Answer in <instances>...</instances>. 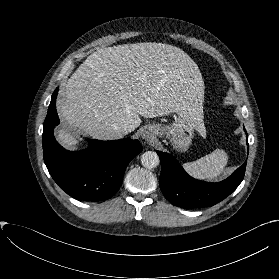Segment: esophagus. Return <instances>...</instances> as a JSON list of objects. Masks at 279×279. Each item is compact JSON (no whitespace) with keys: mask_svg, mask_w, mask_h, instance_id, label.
<instances>
[{"mask_svg":"<svg viewBox=\"0 0 279 279\" xmlns=\"http://www.w3.org/2000/svg\"><path fill=\"white\" fill-rule=\"evenodd\" d=\"M142 138L147 141H152L154 139V134L152 133V131L147 130L143 133Z\"/></svg>","mask_w":279,"mask_h":279,"instance_id":"esophagus-1","label":"esophagus"}]
</instances>
